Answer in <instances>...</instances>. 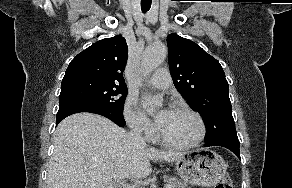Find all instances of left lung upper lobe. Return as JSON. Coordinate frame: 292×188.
<instances>
[{
  "mask_svg": "<svg viewBox=\"0 0 292 188\" xmlns=\"http://www.w3.org/2000/svg\"><path fill=\"white\" fill-rule=\"evenodd\" d=\"M167 45L174 85L202 116L206 140L236 131L229 85L220 63L199 45L177 34L167 36Z\"/></svg>",
  "mask_w": 292,
  "mask_h": 188,
  "instance_id": "5c2ea615",
  "label": "left lung upper lobe"
}]
</instances>
